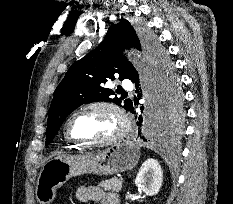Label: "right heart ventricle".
<instances>
[{"label": "right heart ventricle", "mask_w": 233, "mask_h": 204, "mask_svg": "<svg viewBox=\"0 0 233 204\" xmlns=\"http://www.w3.org/2000/svg\"><path fill=\"white\" fill-rule=\"evenodd\" d=\"M65 139H66L67 143H69L70 145H72L71 141L67 137H65ZM75 146H77V145H75Z\"/></svg>", "instance_id": "1"}]
</instances>
